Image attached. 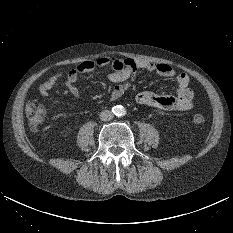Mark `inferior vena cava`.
Segmentation results:
<instances>
[{"label": "inferior vena cava", "mask_w": 233, "mask_h": 233, "mask_svg": "<svg viewBox=\"0 0 233 233\" xmlns=\"http://www.w3.org/2000/svg\"><path fill=\"white\" fill-rule=\"evenodd\" d=\"M114 117L113 113L110 110H104L100 113V119L102 121L112 120Z\"/></svg>", "instance_id": "602c4592"}]
</instances>
